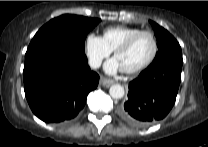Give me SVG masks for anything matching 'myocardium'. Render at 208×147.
I'll return each instance as SVG.
<instances>
[{
	"instance_id": "1",
	"label": "myocardium",
	"mask_w": 208,
	"mask_h": 147,
	"mask_svg": "<svg viewBox=\"0 0 208 147\" xmlns=\"http://www.w3.org/2000/svg\"><path fill=\"white\" fill-rule=\"evenodd\" d=\"M142 35H149L152 38L153 41V52L151 54V56L149 57V59L147 61H145L144 63H142L141 65L134 67V68H129V69H122V71L126 74H136L139 73L143 70H145L146 68H148L156 59L158 51H159V45H158V40L155 36V34L151 31L148 30H141L133 35H131L129 38H127L122 44H120L115 50H114V55L115 57L121 53L126 51L127 49H129L131 47V45L134 43V41L142 36Z\"/></svg>"
}]
</instances>
